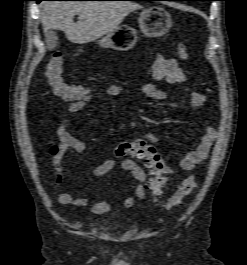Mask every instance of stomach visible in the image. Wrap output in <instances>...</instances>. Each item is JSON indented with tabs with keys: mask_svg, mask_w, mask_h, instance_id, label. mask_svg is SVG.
<instances>
[{
	"mask_svg": "<svg viewBox=\"0 0 247 265\" xmlns=\"http://www.w3.org/2000/svg\"><path fill=\"white\" fill-rule=\"evenodd\" d=\"M138 24L141 32L146 37H161L171 28L172 19L164 8L150 6L140 13ZM137 39L135 29L123 25L108 33L99 41V45L102 48L126 51L134 47Z\"/></svg>",
	"mask_w": 247,
	"mask_h": 265,
	"instance_id": "1",
	"label": "stomach"
}]
</instances>
